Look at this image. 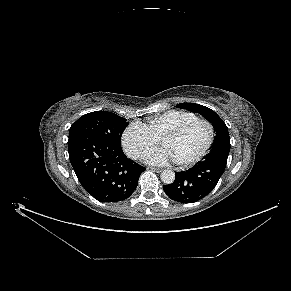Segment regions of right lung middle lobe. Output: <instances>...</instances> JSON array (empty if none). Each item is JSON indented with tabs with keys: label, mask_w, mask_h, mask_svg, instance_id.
Returning <instances> with one entry per match:
<instances>
[{
	"label": "right lung middle lobe",
	"mask_w": 291,
	"mask_h": 291,
	"mask_svg": "<svg viewBox=\"0 0 291 291\" xmlns=\"http://www.w3.org/2000/svg\"><path fill=\"white\" fill-rule=\"evenodd\" d=\"M127 120L107 111H95L80 117L70 127L69 136L86 132L120 146L121 135L128 125Z\"/></svg>",
	"instance_id": "obj_1"
}]
</instances>
